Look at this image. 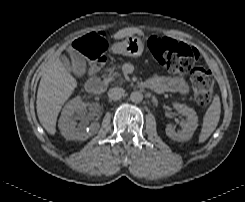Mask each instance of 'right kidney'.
<instances>
[{
    "instance_id": "1",
    "label": "right kidney",
    "mask_w": 245,
    "mask_h": 202,
    "mask_svg": "<svg viewBox=\"0 0 245 202\" xmlns=\"http://www.w3.org/2000/svg\"><path fill=\"white\" fill-rule=\"evenodd\" d=\"M81 106L82 99L75 97L70 100L62 110L58 126L61 134L67 140L84 141L96 134L100 127L99 123H92L88 127V121H83L76 127L77 122L74 117V112L78 111Z\"/></svg>"
}]
</instances>
